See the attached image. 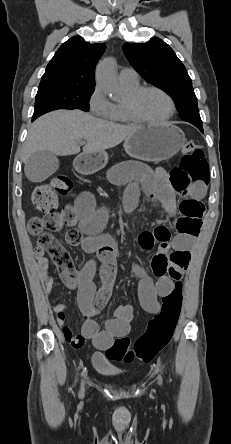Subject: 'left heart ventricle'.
I'll use <instances>...</instances> for the list:
<instances>
[{"label": "left heart ventricle", "mask_w": 231, "mask_h": 444, "mask_svg": "<svg viewBox=\"0 0 231 444\" xmlns=\"http://www.w3.org/2000/svg\"><path fill=\"white\" fill-rule=\"evenodd\" d=\"M139 115L148 120H159L168 115L170 105L159 92L147 91L137 101Z\"/></svg>", "instance_id": "obj_1"}]
</instances>
